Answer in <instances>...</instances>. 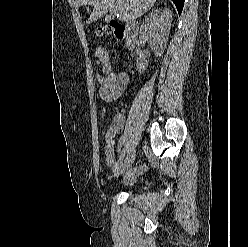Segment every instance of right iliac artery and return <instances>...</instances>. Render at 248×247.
<instances>
[{
	"instance_id": "right-iliac-artery-1",
	"label": "right iliac artery",
	"mask_w": 248,
	"mask_h": 247,
	"mask_svg": "<svg viewBox=\"0 0 248 247\" xmlns=\"http://www.w3.org/2000/svg\"><path fill=\"white\" fill-rule=\"evenodd\" d=\"M126 149H124L123 150V152L121 153V156H120V160L122 161L123 160V158H124V156H125V154H126ZM121 163V162H120Z\"/></svg>"
}]
</instances>
